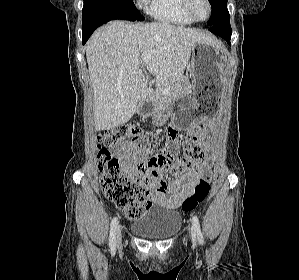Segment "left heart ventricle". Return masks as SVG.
Segmentation results:
<instances>
[{
  "label": "left heart ventricle",
  "instance_id": "left-heart-ventricle-1",
  "mask_svg": "<svg viewBox=\"0 0 299 280\" xmlns=\"http://www.w3.org/2000/svg\"><path fill=\"white\" fill-rule=\"evenodd\" d=\"M192 11L196 18L204 19L207 16V5L204 0H192Z\"/></svg>",
  "mask_w": 299,
  "mask_h": 280
}]
</instances>
